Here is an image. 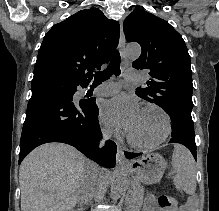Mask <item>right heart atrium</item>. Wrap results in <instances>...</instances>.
<instances>
[{
    "label": "right heart atrium",
    "mask_w": 219,
    "mask_h": 211,
    "mask_svg": "<svg viewBox=\"0 0 219 211\" xmlns=\"http://www.w3.org/2000/svg\"><path fill=\"white\" fill-rule=\"evenodd\" d=\"M112 133L113 132H112L111 128H109V127L103 128V134L105 137H110L112 135Z\"/></svg>",
    "instance_id": "right-heart-atrium-1"
}]
</instances>
